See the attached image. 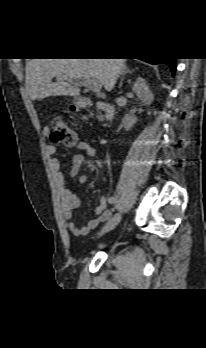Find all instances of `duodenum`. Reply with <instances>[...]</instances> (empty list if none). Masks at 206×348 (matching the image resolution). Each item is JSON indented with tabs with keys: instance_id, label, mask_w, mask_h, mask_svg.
<instances>
[{
	"instance_id": "obj_1",
	"label": "duodenum",
	"mask_w": 206,
	"mask_h": 348,
	"mask_svg": "<svg viewBox=\"0 0 206 348\" xmlns=\"http://www.w3.org/2000/svg\"><path fill=\"white\" fill-rule=\"evenodd\" d=\"M98 107L104 111L108 121H112L113 120V118H114V110H113V108L109 104L104 103V102L98 103Z\"/></svg>"
}]
</instances>
